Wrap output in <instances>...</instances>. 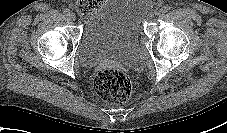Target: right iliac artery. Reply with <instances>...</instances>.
Instances as JSON below:
<instances>
[{"mask_svg": "<svg viewBox=\"0 0 227 133\" xmlns=\"http://www.w3.org/2000/svg\"><path fill=\"white\" fill-rule=\"evenodd\" d=\"M63 13H64V15L69 16L70 10L66 8L63 10Z\"/></svg>", "mask_w": 227, "mask_h": 133, "instance_id": "right-iliac-artery-1", "label": "right iliac artery"}]
</instances>
